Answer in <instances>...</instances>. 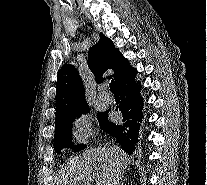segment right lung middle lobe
<instances>
[{
    "mask_svg": "<svg viewBox=\"0 0 207 185\" xmlns=\"http://www.w3.org/2000/svg\"><path fill=\"white\" fill-rule=\"evenodd\" d=\"M109 110L105 111V112H99L97 114V118L100 124V127H102V125L108 120L107 119V115H108ZM81 115L77 116L78 118ZM75 120L72 119L70 122H68L67 124L58 127L55 129V136H54V149L57 153H59L63 148L66 147H72V123ZM86 147V145L84 144H79L76 145L73 149L74 151H80L82 149H84Z\"/></svg>",
    "mask_w": 207,
    "mask_h": 185,
    "instance_id": "dd1d6c3e",
    "label": "right lung middle lobe"
}]
</instances>
